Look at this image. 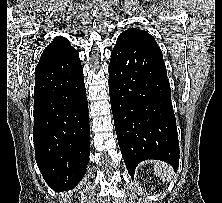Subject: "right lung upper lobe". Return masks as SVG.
<instances>
[{
  "mask_svg": "<svg viewBox=\"0 0 222 203\" xmlns=\"http://www.w3.org/2000/svg\"><path fill=\"white\" fill-rule=\"evenodd\" d=\"M78 52L64 37H55L43 51L37 66L78 61Z\"/></svg>",
  "mask_w": 222,
  "mask_h": 203,
  "instance_id": "right-lung-upper-lobe-1",
  "label": "right lung upper lobe"
}]
</instances>
